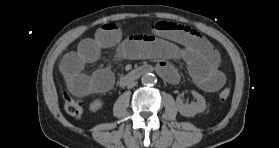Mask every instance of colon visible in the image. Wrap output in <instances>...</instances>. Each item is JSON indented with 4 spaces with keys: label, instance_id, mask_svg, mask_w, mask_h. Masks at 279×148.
Returning a JSON list of instances; mask_svg holds the SVG:
<instances>
[{
    "label": "colon",
    "instance_id": "obj_1",
    "mask_svg": "<svg viewBox=\"0 0 279 148\" xmlns=\"http://www.w3.org/2000/svg\"><path fill=\"white\" fill-rule=\"evenodd\" d=\"M139 35V34H135ZM230 95V89L224 88L222 89L219 94L218 98L222 101L226 100ZM65 110L66 112L73 117H80L83 114L84 108L82 101L75 97L65 96Z\"/></svg>",
    "mask_w": 279,
    "mask_h": 148
}]
</instances>
